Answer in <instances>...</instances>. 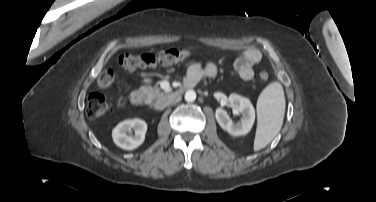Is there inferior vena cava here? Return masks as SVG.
Instances as JSON below:
<instances>
[{
  "mask_svg": "<svg viewBox=\"0 0 376 202\" xmlns=\"http://www.w3.org/2000/svg\"><path fill=\"white\" fill-rule=\"evenodd\" d=\"M180 97L179 96H175L174 98H172L169 102H168V104H174V103H177V102H179L180 101Z\"/></svg>",
  "mask_w": 376,
  "mask_h": 202,
  "instance_id": "1",
  "label": "inferior vena cava"
}]
</instances>
